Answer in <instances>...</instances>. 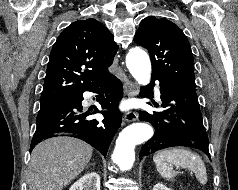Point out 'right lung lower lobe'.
<instances>
[{
	"instance_id": "1",
	"label": "right lung lower lobe",
	"mask_w": 238,
	"mask_h": 190,
	"mask_svg": "<svg viewBox=\"0 0 238 190\" xmlns=\"http://www.w3.org/2000/svg\"><path fill=\"white\" fill-rule=\"evenodd\" d=\"M85 91L101 94L98 102L103 111H99L95 107L93 114L102 113L104 116L102 121L89 119L88 116L92 113L82 111V94ZM122 96V83L111 74L83 90L71 102L40 110L36 118L37 128L30 151L43 139L50 137L51 134L69 132L78 134L80 139L106 156L113 135L121 124V114L117 106Z\"/></svg>"
}]
</instances>
